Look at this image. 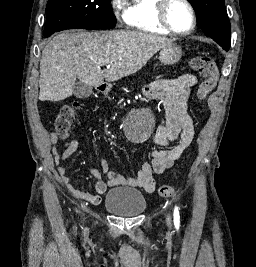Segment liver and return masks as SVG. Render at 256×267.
I'll return each instance as SVG.
<instances>
[{
    "mask_svg": "<svg viewBox=\"0 0 256 267\" xmlns=\"http://www.w3.org/2000/svg\"><path fill=\"white\" fill-rule=\"evenodd\" d=\"M173 40L165 36L112 30L56 34L40 60L39 100L60 102L72 96L76 78L86 86L116 82L141 70L148 60ZM100 62L107 68L101 70Z\"/></svg>",
    "mask_w": 256,
    "mask_h": 267,
    "instance_id": "1",
    "label": "liver"
}]
</instances>
